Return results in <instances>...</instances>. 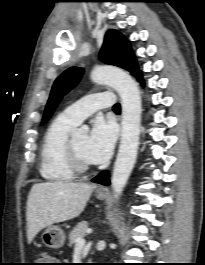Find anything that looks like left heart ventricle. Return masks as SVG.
<instances>
[{
  "mask_svg": "<svg viewBox=\"0 0 205 265\" xmlns=\"http://www.w3.org/2000/svg\"><path fill=\"white\" fill-rule=\"evenodd\" d=\"M73 140H74V145H75L76 151H77L78 155L80 156V158L83 161L90 163L89 160L87 159L86 153H85L88 136L86 134L77 135V136L73 137Z\"/></svg>",
  "mask_w": 205,
  "mask_h": 265,
  "instance_id": "left-heart-ventricle-1",
  "label": "left heart ventricle"
}]
</instances>
